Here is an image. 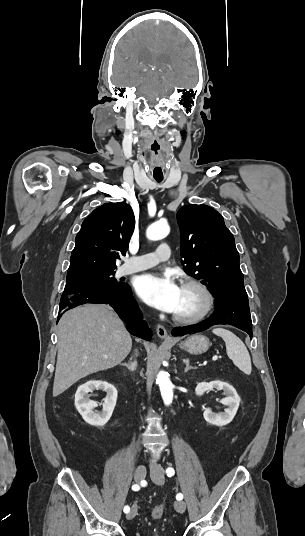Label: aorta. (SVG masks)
<instances>
[{
    "mask_svg": "<svg viewBox=\"0 0 305 536\" xmlns=\"http://www.w3.org/2000/svg\"><path fill=\"white\" fill-rule=\"evenodd\" d=\"M169 232V225L166 222L159 221L148 227L146 236L151 241H157L165 238ZM156 382L159 385L164 404L170 405L173 400V384L170 381L169 375L165 371H160L157 374Z\"/></svg>",
    "mask_w": 305,
    "mask_h": 536,
    "instance_id": "obj_1",
    "label": "aorta"
}]
</instances>
